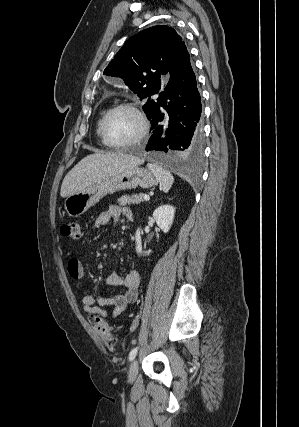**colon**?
I'll list each match as a JSON object with an SVG mask.
<instances>
[{
	"label": "colon",
	"mask_w": 299,
	"mask_h": 427,
	"mask_svg": "<svg viewBox=\"0 0 299 427\" xmlns=\"http://www.w3.org/2000/svg\"><path fill=\"white\" fill-rule=\"evenodd\" d=\"M60 233L65 238L78 240L81 237L80 225L77 222L65 223L61 226ZM93 324L98 334L107 344H113L115 342L112 329L105 320L99 316H95L93 318Z\"/></svg>",
	"instance_id": "obj_1"
}]
</instances>
